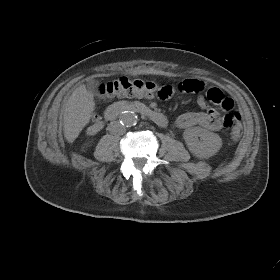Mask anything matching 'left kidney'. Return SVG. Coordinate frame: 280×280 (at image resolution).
<instances>
[{"instance_id": "5707ae66", "label": "left kidney", "mask_w": 280, "mask_h": 280, "mask_svg": "<svg viewBox=\"0 0 280 280\" xmlns=\"http://www.w3.org/2000/svg\"><path fill=\"white\" fill-rule=\"evenodd\" d=\"M184 139L190 152L200 158L213 156L222 146L219 135L201 127L185 130Z\"/></svg>"}]
</instances>
